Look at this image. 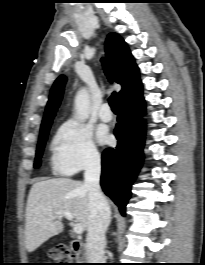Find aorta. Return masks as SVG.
<instances>
[{
	"label": "aorta",
	"mask_w": 205,
	"mask_h": 265,
	"mask_svg": "<svg viewBox=\"0 0 205 265\" xmlns=\"http://www.w3.org/2000/svg\"><path fill=\"white\" fill-rule=\"evenodd\" d=\"M75 111L77 119L80 121H85L89 117V94L86 88H82L76 95L75 101Z\"/></svg>",
	"instance_id": "obj_1"
}]
</instances>
